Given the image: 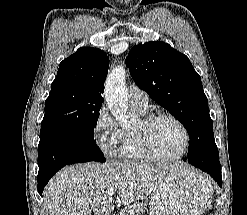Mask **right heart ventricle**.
<instances>
[{"label":"right heart ventricle","mask_w":247,"mask_h":215,"mask_svg":"<svg viewBox=\"0 0 247 215\" xmlns=\"http://www.w3.org/2000/svg\"><path fill=\"white\" fill-rule=\"evenodd\" d=\"M135 108V107H134ZM138 112L144 113L145 110L135 108ZM120 159L124 161H144L148 157L143 152L138 142L135 131L122 130V140L121 145L118 149V155Z\"/></svg>","instance_id":"right-heart-ventricle-1"}]
</instances>
